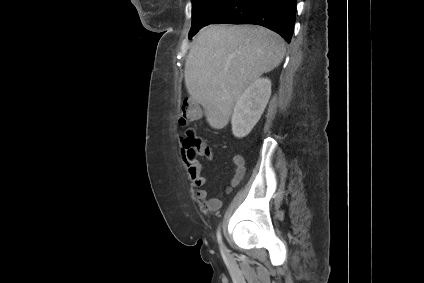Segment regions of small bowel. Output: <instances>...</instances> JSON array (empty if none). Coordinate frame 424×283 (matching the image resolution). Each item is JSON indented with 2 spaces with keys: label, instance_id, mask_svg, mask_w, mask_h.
<instances>
[{
  "label": "small bowel",
  "instance_id": "1",
  "mask_svg": "<svg viewBox=\"0 0 424 283\" xmlns=\"http://www.w3.org/2000/svg\"><path fill=\"white\" fill-rule=\"evenodd\" d=\"M181 158L188 171L189 177L191 178L194 186L197 187V199L202 202L203 205L210 211H216L220 209L222 206L221 198L209 197L208 191L202 188L206 184V177L202 172L201 164L190 156L186 147L181 148ZM233 163L235 166L234 175L231 179L230 186L226 190L227 192L239 185L245 174V160L243 156L235 155L233 157Z\"/></svg>",
  "mask_w": 424,
  "mask_h": 283
}]
</instances>
